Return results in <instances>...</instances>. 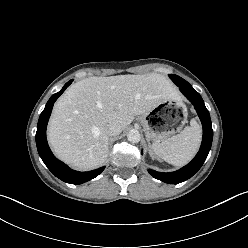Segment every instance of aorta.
<instances>
[{
	"label": "aorta",
	"instance_id": "obj_1",
	"mask_svg": "<svg viewBox=\"0 0 248 248\" xmlns=\"http://www.w3.org/2000/svg\"><path fill=\"white\" fill-rule=\"evenodd\" d=\"M127 139L131 143H138L141 139V135H140L139 131L131 130L127 135Z\"/></svg>",
	"mask_w": 248,
	"mask_h": 248
}]
</instances>
